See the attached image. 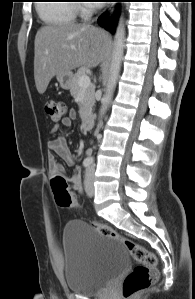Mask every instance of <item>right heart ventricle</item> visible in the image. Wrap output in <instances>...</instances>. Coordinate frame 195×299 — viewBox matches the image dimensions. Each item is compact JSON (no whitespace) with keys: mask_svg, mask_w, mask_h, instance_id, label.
Here are the masks:
<instances>
[{"mask_svg":"<svg viewBox=\"0 0 195 299\" xmlns=\"http://www.w3.org/2000/svg\"><path fill=\"white\" fill-rule=\"evenodd\" d=\"M41 3L37 10L46 25L63 26L72 24L76 18L77 7L72 1L53 0Z\"/></svg>","mask_w":195,"mask_h":299,"instance_id":"right-heart-ventricle-1","label":"right heart ventricle"}]
</instances>
